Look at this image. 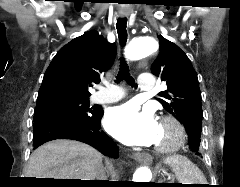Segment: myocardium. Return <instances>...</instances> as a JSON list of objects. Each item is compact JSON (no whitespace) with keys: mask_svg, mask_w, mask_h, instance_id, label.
<instances>
[{"mask_svg":"<svg viewBox=\"0 0 240 187\" xmlns=\"http://www.w3.org/2000/svg\"><path fill=\"white\" fill-rule=\"evenodd\" d=\"M160 125L171 130L169 141L158 144L154 150L160 154L172 153L182 147L186 141L187 134L182 122L173 115H165L160 119Z\"/></svg>","mask_w":240,"mask_h":187,"instance_id":"obj_1","label":"myocardium"}]
</instances>
